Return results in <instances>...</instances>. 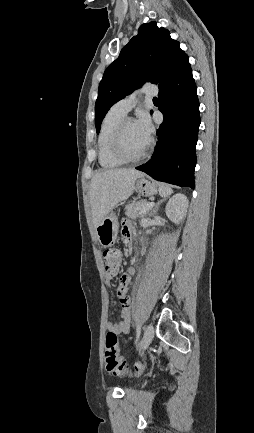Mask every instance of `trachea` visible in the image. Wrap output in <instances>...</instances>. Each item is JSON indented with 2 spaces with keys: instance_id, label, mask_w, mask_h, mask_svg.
<instances>
[{
  "instance_id": "trachea-1",
  "label": "trachea",
  "mask_w": 254,
  "mask_h": 433,
  "mask_svg": "<svg viewBox=\"0 0 254 433\" xmlns=\"http://www.w3.org/2000/svg\"><path fill=\"white\" fill-rule=\"evenodd\" d=\"M153 100H157V98H156V97H154V98H153Z\"/></svg>"
}]
</instances>
